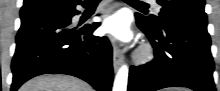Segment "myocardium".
<instances>
[{"label": "myocardium", "mask_w": 220, "mask_h": 91, "mask_svg": "<svg viewBox=\"0 0 220 91\" xmlns=\"http://www.w3.org/2000/svg\"><path fill=\"white\" fill-rule=\"evenodd\" d=\"M153 51L149 45H144L136 54V59L140 63L148 62L152 59Z\"/></svg>", "instance_id": "obj_1"}]
</instances>
